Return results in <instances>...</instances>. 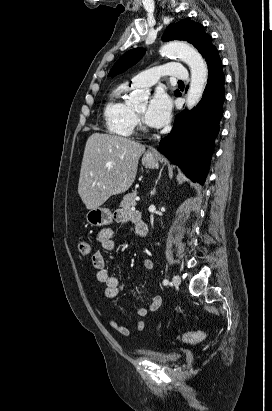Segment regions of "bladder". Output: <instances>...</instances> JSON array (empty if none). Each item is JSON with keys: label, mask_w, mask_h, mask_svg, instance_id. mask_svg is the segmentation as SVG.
I'll use <instances>...</instances> for the list:
<instances>
[{"label": "bladder", "mask_w": 272, "mask_h": 411, "mask_svg": "<svg viewBox=\"0 0 272 411\" xmlns=\"http://www.w3.org/2000/svg\"><path fill=\"white\" fill-rule=\"evenodd\" d=\"M144 356L150 361L158 364L173 366L181 359V354L178 352L159 353V352H145Z\"/></svg>", "instance_id": "31cf9c89"}]
</instances>
